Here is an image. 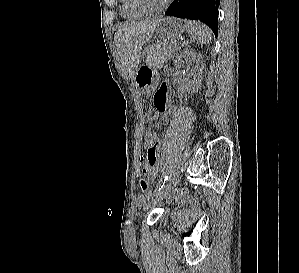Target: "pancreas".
Segmentation results:
<instances>
[{
  "label": "pancreas",
  "instance_id": "cf45deb5",
  "mask_svg": "<svg viewBox=\"0 0 299 273\" xmlns=\"http://www.w3.org/2000/svg\"><path fill=\"white\" fill-rule=\"evenodd\" d=\"M180 45L177 43H158L150 48L146 62L151 68H160L172 57Z\"/></svg>",
  "mask_w": 299,
  "mask_h": 273
}]
</instances>
